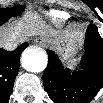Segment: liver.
Instances as JSON below:
<instances>
[{
    "instance_id": "1",
    "label": "liver",
    "mask_w": 103,
    "mask_h": 103,
    "mask_svg": "<svg viewBox=\"0 0 103 103\" xmlns=\"http://www.w3.org/2000/svg\"><path fill=\"white\" fill-rule=\"evenodd\" d=\"M76 35L77 32L55 30L46 25L36 11H28L22 19L13 25L5 27L1 31V44L16 42L20 44L28 39L40 35L48 38H62L68 35Z\"/></svg>"
}]
</instances>
